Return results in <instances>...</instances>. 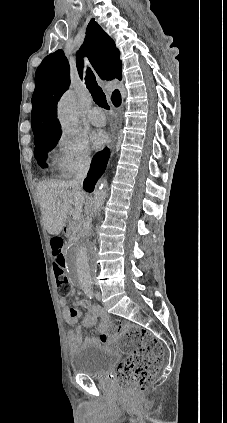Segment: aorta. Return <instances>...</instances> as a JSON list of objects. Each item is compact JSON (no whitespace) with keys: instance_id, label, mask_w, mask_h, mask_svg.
Instances as JSON below:
<instances>
[{"instance_id":"762f6f07","label":"aorta","mask_w":227,"mask_h":423,"mask_svg":"<svg viewBox=\"0 0 227 423\" xmlns=\"http://www.w3.org/2000/svg\"><path fill=\"white\" fill-rule=\"evenodd\" d=\"M57 117L62 132L74 135L78 131L79 111L76 95L67 91L60 99L57 108ZM107 179H100L93 192V210L99 212L106 199ZM97 272V253L89 242H79L69 247L66 253V273L69 279L78 286H89Z\"/></svg>"}]
</instances>
